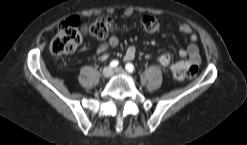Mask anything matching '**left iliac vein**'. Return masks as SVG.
<instances>
[{
	"instance_id": "left-iliac-vein-1",
	"label": "left iliac vein",
	"mask_w": 247,
	"mask_h": 145,
	"mask_svg": "<svg viewBox=\"0 0 247 145\" xmlns=\"http://www.w3.org/2000/svg\"><path fill=\"white\" fill-rule=\"evenodd\" d=\"M122 72V69L121 68H117L116 70H115V73H121Z\"/></svg>"
}]
</instances>
